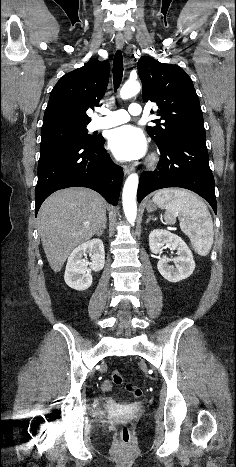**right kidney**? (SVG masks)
Returning a JSON list of instances; mask_svg holds the SVG:
<instances>
[{"mask_svg": "<svg viewBox=\"0 0 236 467\" xmlns=\"http://www.w3.org/2000/svg\"><path fill=\"white\" fill-rule=\"evenodd\" d=\"M89 254L91 262L83 257ZM105 263V251L102 240L92 239L76 247L70 254L64 280L66 284L78 291L88 289L92 284L91 271H100ZM89 266V267H88Z\"/></svg>", "mask_w": 236, "mask_h": 467, "instance_id": "obj_1", "label": "right kidney"}]
</instances>
